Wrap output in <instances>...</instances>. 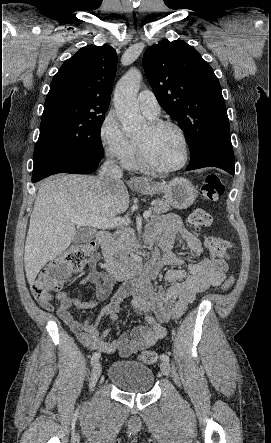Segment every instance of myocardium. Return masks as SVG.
<instances>
[{
  "label": "myocardium",
  "instance_id": "f54148a6",
  "mask_svg": "<svg viewBox=\"0 0 271 443\" xmlns=\"http://www.w3.org/2000/svg\"><path fill=\"white\" fill-rule=\"evenodd\" d=\"M147 124H148V127L150 130H156V129H159L162 127H171L173 129H175L180 134L183 144H184V157H183L182 161L176 165L169 166V167L159 166L151 160L144 144L141 141H139L138 139H136V146H137V151H138L140 163L145 168H147L151 171H154V172H159V173L174 172V171L180 170L183 167H185L188 164L189 159H190L191 147H190L189 138H188L186 132L184 131V129L180 125H178L177 123H175L173 121L159 119V118L151 119L148 121Z\"/></svg>",
  "mask_w": 271,
  "mask_h": 443
}]
</instances>
